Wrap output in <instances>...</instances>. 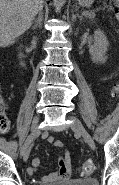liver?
Instances as JSON below:
<instances>
[{"mask_svg": "<svg viewBox=\"0 0 119 185\" xmlns=\"http://www.w3.org/2000/svg\"><path fill=\"white\" fill-rule=\"evenodd\" d=\"M43 0H0V47L13 40L32 25L36 14L43 8Z\"/></svg>", "mask_w": 119, "mask_h": 185, "instance_id": "1", "label": "liver"}]
</instances>
